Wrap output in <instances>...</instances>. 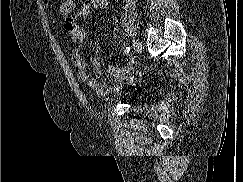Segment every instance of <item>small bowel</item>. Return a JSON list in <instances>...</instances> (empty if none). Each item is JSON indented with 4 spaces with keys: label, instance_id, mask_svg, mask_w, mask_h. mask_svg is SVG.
Wrapping results in <instances>:
<instances>
[{
    "label": "small bowel",
    "instance_id": "1",
    "mask_svg": "<svg viewBox=\"0 0 243 182\" xmlns=\"http://www.w3.org/2000/svg\"><path fill=\"white\" fill-rule=\"evenodd\" d=\"M108 7V0H84L80 8L64 21V29L72 41V63L74 71L80 81L94 90L98 95L106 96L112 91H119L126 82L133 81L131 73L135 69V60L132 59L123 67L110 65L108 73L111 79L108 82H99L97 78L88 73V67L98 70L100 63L97 60L83 58L81 47L86 37L81 23L93 12L105 10ZM137 76L142 74V70L136 72Z\"/></svg>",
    "mask_w": 243,
    "mask_h": 182
}]
</instances>
